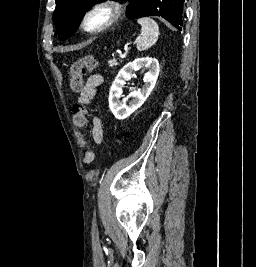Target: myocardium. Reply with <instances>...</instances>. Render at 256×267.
I'll list each match as a JSON object with an SVG mask.
<instances>
[{"instance_id":"f54148a6","label":"myocardium","mask_w":256,"mask_h":267,"mask_svg":"<svg viewBox=\"0 0 256 267\" xmlns=\"http://www.w3.org/2000/svg\"><path fill=\"white\" fill-rule=\"evenodd\" d=\"M102 11L108 14L106 22L98 28H90L88 24L92 16ZM121 13V7L115 2L99 3L84 13L80 22V28L84 33L89 35L100 34L109 29L120 18Z\"/></svg>"}]
</instances>
